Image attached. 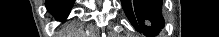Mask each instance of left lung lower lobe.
I'll list each match as a JSON object with an SVG mask.
<instances>
[{
  "mask_svg": "<svg viewBox=\"0 0 219 37\" xmlns=\"http://www.w3.org/2000/svg\"><path fill=\"white\" fill-rule=\"evenodd\" d=\"M122 7L134 25L145 35L154 36L164 26L162 0H121Z\"/></svg>",
  "mask_w": 219,
  "mask_h": 37,
  "instance_id": "1",
  "label": "left lung lower lobe"
}]
</instances>
